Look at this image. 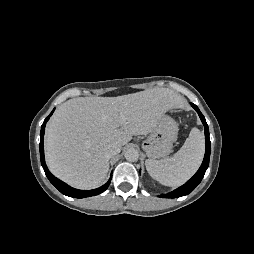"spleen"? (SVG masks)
Masks as SVG:
<instances>
[{
  "label": "spleen",
  "instance_id": "obj_1",
  "mask_svg": "<svg viewBox=\"0 0 254 254\" xmlns=\"http://www.w3.org/2000/svg\"><path fill=\"white\" fill-rule=\"evenodd\" d=\"M204 150V135L194 127L184 145L173 157L161 160L147 159V171L151 177L165 186L182 185L198 170Z\"/></svg>",
  "mask_w": 254,
  "mask_h": 254
}]
</instances>
